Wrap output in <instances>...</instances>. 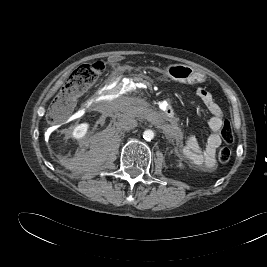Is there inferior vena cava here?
<instances>
[{
	"label": "inferior vena cava",
	"instance_id": "inferior-vena-cava-1",
	"mask_svg": "<svg viewBox=\"0 0 267 267\" xmlns=\"http://www.w3.org/2000/svg\"><path fill=\"white\" fill-rule=\"evenodd\" d=\"M137 121L129 116H123L122 118H119L117 122V127L123 130H132L135 127H137Z\"/></svg>",
	"mask_w": 267,
	"mask_h": 267
}]
</instances>
